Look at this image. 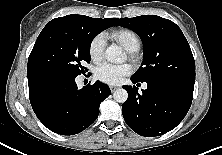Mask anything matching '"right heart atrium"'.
Returning <instances> with one entry per match:
<instances>
[{
	"mask_svg": "<svg viewBox=\"0 0 222 155\" xmlns=\"http://www.w3.org/2000/svg\"><path fill=\"white\" fill-rule=\"evenodd\" d=\"M106 47V39L103 34L96 35L89 46V54L94 62L101 60Z\"/></svg>",
	"mask_w": 222,
	"mask_h": 155,
	"instance_id": "right-heart-atrium-1",
	"label": "right heart atrium"
}]
</instances>
